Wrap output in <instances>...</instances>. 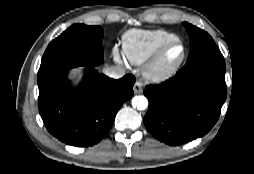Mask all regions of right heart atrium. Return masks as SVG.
<instances>
[{
	"label": "right heart atrium",
	"mask_w": 254,
	"mask_h": 174,
	"mask_svg": "<svg viewBox=\"0 0 254 174\" xmlns=\"http://www.w3.org/2000/svg\"><path fill=\"white\" fill-rule=\"evenodd\" d=\"M112 57L117 62H123L124 61V55L121 52V50L118 48V46H113L111 50Z\"/></svg>",
	"instance_id": "d8ad5b80"
}]
</instances>
